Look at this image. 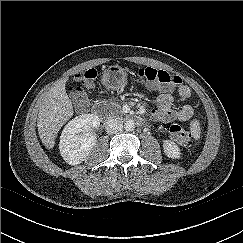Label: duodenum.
<instances>
[{
    "label": "duodenum",
    "instance_id": "obj_1",
    "mask_svg": "<svg viewBox=\"0 0 243 243\" xmlns=\"http://www.w3.org/2000/svg\"><path fill=\"white\" fill-rule=\"evenodd\" d=\"M92 114L94 116H97L99 117L101 115L99 109L95 108L93 111H92ZM128 119H131L133 121H136V122H139V123H142V119L138 116V115H129L128 116Z\"/></svg>",
    "mask_w": 243,
    "mask_h": 243
}]
</instances>
